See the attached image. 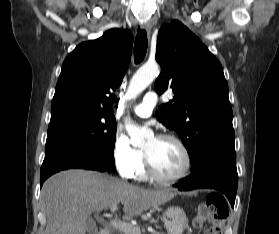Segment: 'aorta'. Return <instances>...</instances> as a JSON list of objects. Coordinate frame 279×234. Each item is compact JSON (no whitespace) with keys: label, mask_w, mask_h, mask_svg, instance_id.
I'll return each mask as SVG.
<instances>
[{"label":"aorta","mask_w":279,"mask_h":234,"mask_svg":"<svg viewBox=\"0 0 279 234\" xmlns=\"http://www.w3.org/2000/svg\"><path fill=\"white\" fill-rule=\"evenodd\" d=\"M159 74V66L157 63H146L132 77L127 91L128 99L136 98L144 89H146ZM125 128L130 136L133 145H140L151 134V131L139 128L131 122L130 119L125 120Z\"/></svg>","instance_id":"762f6f07"}]
</instances>
